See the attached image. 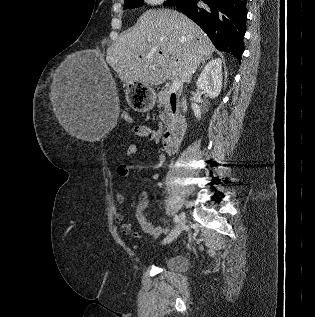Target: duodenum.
Returning <instances> with one entry per match:
<instances>
[{"label":"duodenum","mask_w":315,"mask_h":317,"mask_svg":"<svg viewBox=\"0 0 315 317\" xmlns=\"http://www.w3.org/2000/svg\"><path fill=\"white\" fill-rule=\"evenodd\" d=\"M168 105L172 111L173 119L170 126L162 133L161 143L168 154H174L179 148L187 127L184 115L186 104L173 92L169 96Z\"/></svg>","instance_id":"obj_1"}]
</instances>
